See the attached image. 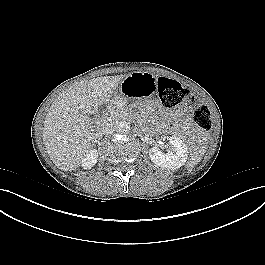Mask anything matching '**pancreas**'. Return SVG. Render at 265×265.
Returning <instances> with one entry per match:
<instances>
[{
    "instance_id": "pancreas-1",
    "label": "pancreas",
    "mask_w": 265,
    "mask_h": 265,
    "mask_svg": "<svg viewBox=\"0 0 265 265\" xmlns=\"http://www.w3.org/2000/svg\"><path fill=\"white\" fill-rule=\"evenodd\" d=\"M119 104H126V100L117 95L110 101L109 111L111 113V118L117 120L123 118L122 109Z\"/></svg>"
}]
</instances>
